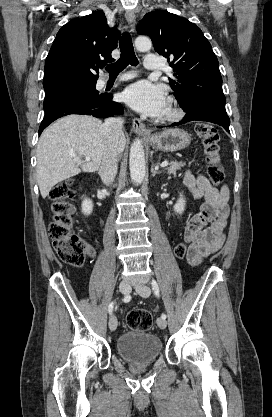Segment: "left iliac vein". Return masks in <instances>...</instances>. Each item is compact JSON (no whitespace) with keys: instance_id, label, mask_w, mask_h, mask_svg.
I'll return each instance as SVG.
<instances>
[{"instance_id":"obj_1","label":"left iliac vein","mask_w":272,"mask_h":417,"mask_svg":"<svg viewBox=\"0 0 272 417\" xmlns=\"http://www.w3.org/2000/svg\"><path fill=\"white\" fill-rule=\"evenodd\" d=\"M136 292L140 295V296H142V297H144V298H147V297H149L150 296V294H151V289H150V287L149 286H147V285H138V286H136ZM157 325L161 328V329H165L166 328V326H167V321L165 320V319H163V318H158L157 319Z\"/></svg>"}]
</instances>
